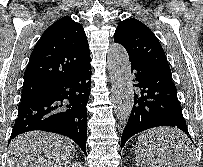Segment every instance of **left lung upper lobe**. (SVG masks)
Masks as SVG:
<instances>
[{
	"instance_id": "obj_1",
	"label": "left lung upper lobe",
	"mask_w": 203,
	"mask_h": 167,
	"mask_svg": "<svg viewBox=\"0 0 203 167\" xmlns=\"http://www.w3.org/2000/svg\"><path fill=\"white\" fill-rule=\"evenodd\" d=\"M114 41L124 46L129 58L138 59L158 71L171 74L159 40L141 21L129 18L119 22Z\"/></svg>"
}]
</instances>
